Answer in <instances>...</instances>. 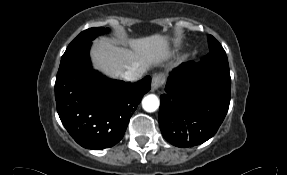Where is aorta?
I'll use <instances>...</instances> for the list:
<instances>
[{
	"mask_svg": "<svg viewBox=\"0 0 287 175\" xmlns=\"http://www.w3.org/2000/svg\"><path fill=\"white\" fill-rule=\"evenodd\" d=\"M160 101L154 94L145 96L142 100V107L147 112H154L159 108Z\"/></svg>",
	"mask_w": 287,
	"mask_h": 175,
	"instance_id": "1",
	"label": "aorta"
}]
</instances>
